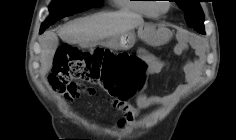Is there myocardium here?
Here are the masks:
<instances>
[{"mask_svg":"<svg viewBox=\"0 0 236 140\" xmlns=\"http://www.w3.org/2000/svg\"><path fill=\"white\" fill-rule=\"evenodd\" d=\"M171 7H172L171 4H166V7H163L161 4H156L154 9L157 14L165 15L170 11Z\"/></svg>","mask_w":236,"mask_h":140,"instance_id":"f54148a6","label":"myocardium"}]
</instances>
